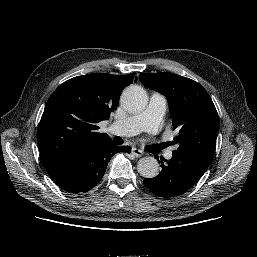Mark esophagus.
Listing matches in <instances>:
<instances>
[{
  "instance_id": "esophagus-1",
  "label": "esophagus",
  "mask_w": 257,
  "mask_h": 257,
  "mask_svg": "<svg viewBox=\"0 0 257 257\" xmlns=\"http://www.w3.org/2000/svg\"><path fill=\"white\" fill-rule=\"evenodd\" d=\"M131 153L136 157H141L144 155V152L138 148H132Z\"/></svg>"
}]
</instances>
